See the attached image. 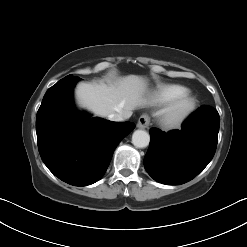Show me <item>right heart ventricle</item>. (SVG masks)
<instances>
[{
	"label": "right heart ventricle",
	"instance_id": "obj_1",
	"mask_svg": "<svg viewBox=\"0 0 247 247\" xmlns=\"http://www.w3.org/2000/svg\"><path fill=\"white\" fill-rule=\"evenodd\" d=\"M184 92H187V89L182 85L161 84L155 91L153 101L158 105L166 104Z\"/></svg>",
	"mask_w": 247,
	"mask_h": 247
}]
</instances>
